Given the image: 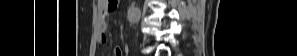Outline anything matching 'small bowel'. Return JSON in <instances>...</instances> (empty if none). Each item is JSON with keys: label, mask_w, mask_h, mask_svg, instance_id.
<instances>
[{"label": "small bowel", "mask_w": 297, "mask_h": 56, "mask_svg": "<svg viewBox=\"0 0 297 56\" xmlns=\"http://www.w3.org/2000/svg\"><path fill=\"white\" fill-rule=\"evenodd\" d=\"M117 7L116 0H99L98 1V9H99V36L98 41L100 43H105L107 41V25L105 22V18L108 14L113 12ZM116 56H122V50L120 48L115 49Z\"/></svg>", "instance_id": "1"}]
</instances>
